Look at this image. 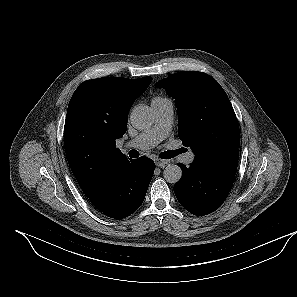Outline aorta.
Returning a JSON list of instances; mask_svg holds the SVG:
<instances>
[{
    "label": "aorta",
    "mask_w": 297,
    "mask_h": 297,
    "mask_svg": "<svg viewBox=\"0 0 297 297\" xmlns=\"http://www.w3.org/2000/svg\"><path fill=\"white\" fill-rule=\"evenodd\" d=\"M130 120L133 127L145 130L154 123V114L148 106H138L132 110ZM163 175L167 182L174 184L182 178V170L178 165L168 164Z\"/></svg>",
    "instance_id": "aorta-1"
}]
</instances>
